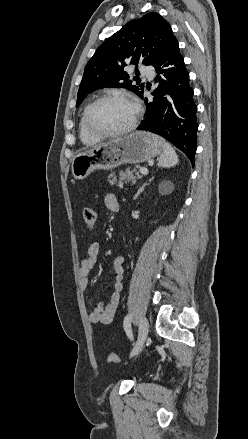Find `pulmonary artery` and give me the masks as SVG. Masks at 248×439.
Instances as JSON below:
<instances>
[{
	"instance_id": "obj_1",
	"label": "pulmonary artery",
	"mask_w": 248,
	"mask_h": 439,
	"mask_svg": "<svg viewBox=\"0 0 248 439\" xmlns=\"http://www.w3.org/2000/svg\"><path fill=\"white\" fill-rule=\"evenodd\" d=\"M139 71H140V74L142 76H144V77H147V78H153L154 77V73L150 69L145 67V66H141L139 68Z\"/></svg>"
}]
</instances>
